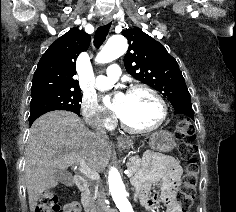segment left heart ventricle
Segmentation results:
<instances>
[{"label": "left heart ventricle", "mask_w": 236, "mask_h": 212, "mask_svg": "<svg viewBox=\"0 0 236 212\" xmlns=\"http://www.w3.org/2000/svg\"><path fill=\"white\" fill-rule=\"evenodd\" d=\"M161 115L158 101L148 92L134 91L125 95L120 117L133 128H147L156 123Z\"/></svg>", "instance_id": "b2bd125f"}]
</instances>
